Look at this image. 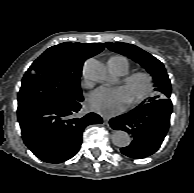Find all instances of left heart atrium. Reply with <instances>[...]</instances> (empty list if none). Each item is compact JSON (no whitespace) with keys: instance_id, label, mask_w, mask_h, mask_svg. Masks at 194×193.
<instances>
[{"instance_id":"1","label":"left heart atrium","mask_w":194,"mask_h":193,"mask_svg":"<svg viewBox=\"0 0 194 193\" xmlns=\"http://www.w3.org/2000/svg\"><path fill=\"white\" fill-rule=\"evenodd\" d=\"M88 104L94 112L114 115L125 108L127 104L126 93L122 87H100L90 95Z\"/></svg>"}]
</instances>
